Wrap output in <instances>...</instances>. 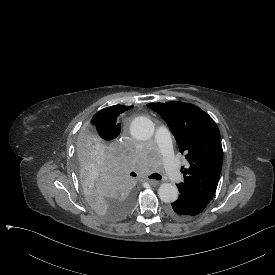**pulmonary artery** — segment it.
Segmentation results:
<instances>
[{
  "instance_id": "1",
  "label": "pulmonary artery",
  "mask_w": 275,
  "mask_h": 275,
  "mask_svg": "<svg viewBox=\"0 0 275 275\" xmlns=\"http://www.w3.org/2000/svg\"><path fill=\"white\" fill-rule=\"evenodd\" d=\"M158 152L162 155L164 165L166 166V176L170 181H177L180 178V170L177 155L174 148L168 142L170 132L167 129H160L157 132Z\"/></svg>"
}]
</instances>
